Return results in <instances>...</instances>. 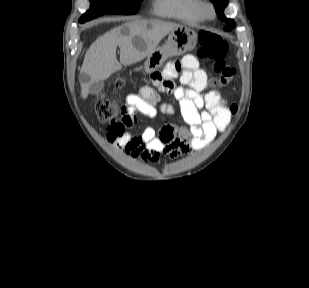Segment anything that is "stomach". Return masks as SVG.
Returning a JSON list of instances; mask_svg holds the SVG:
<instances>
[{
	"label": "stomach",
	"instance_id": "1",
	"mask_svg": "<svg viewBox=\"0 0 309 288\" xmlns=\"http://www.w3.org/2000/svg\"><path fill=\"white\" fill-rule=\"evenodd\" d=\"M197 38V33L190 27L180 25L175 28L169 33L165 43L147 56L144 63L145 72L151 73L159 69L168 58L192 50L197 43Z\"/></svg>",
	"mask_w": 309,
	"mask_h": 288
}]
</instances>
